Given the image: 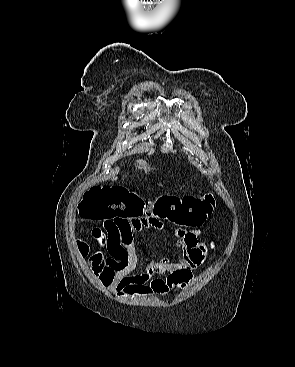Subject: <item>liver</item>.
<instances>
[{
  "label": "liver",
  "instance_id": "obj_1",
  "mask_svg": "<svg viewBox=\"0 0 295 367\" xmlns=\"http://www.w3.org/2000/svg\"><path fill=\"white\" fill-rule=\"evenodd\" d=\"M139 164V168L141 169V170H144V172L147 174L149 171H150V168L148 167V165H147V163H146V161H144V160H138L137 161V165ZM115 180L117 179V178H114Z\"/></svg>",
  "mask_w": 295,
  "mask_h": 367
}]
</instances>
